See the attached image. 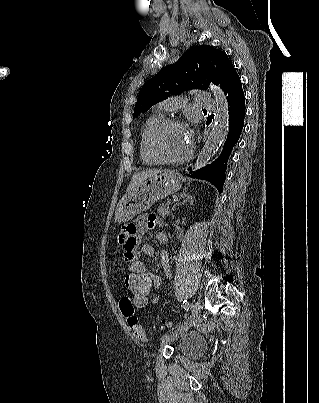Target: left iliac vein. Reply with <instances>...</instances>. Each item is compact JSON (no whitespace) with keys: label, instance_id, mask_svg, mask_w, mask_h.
<instances>
[{"label":"left iliac vein","instance_id":"obj_1","mask_svg":"<svg viewBox=\"0 0 319 403\" xmlns=\"http://www.w3.org/2000/svg\"><path fill=\"white\" fill-rule=\"evenodd\" d=\"M200 316H201V303L199 301H196L191 304V316L190 319L187 321V325L181 331H177L173 334L165 336L161 341V347L181 337L186 331H188L193 326L195 322L199 320Z\"/></svg>","mask_w":319,"mask_h":403}]
</instances>
